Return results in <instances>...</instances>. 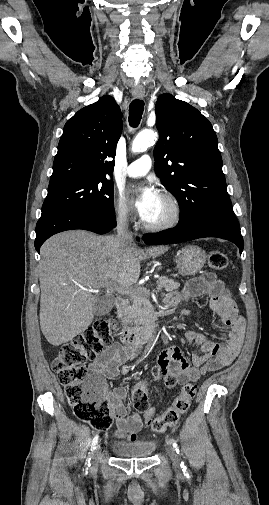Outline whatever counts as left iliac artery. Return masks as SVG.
Listing matches in <instances>:
<instances>
[{"label": "left iliac artery", "mask_w": 269, "mask_h": 505, "mask_svg": "<svg viewBox=\"0 0 269 505\" xmlns=\"http://www.w3.org/2000/svg\"><path fill=\"white\" fill-rule=\"evenodd\" d=\"M172 446L174 447V449L176 450L177 453H179V448H178V445L176 442H173L172 443ZM181 467H182V470L184 472V474L188 475L189 474V470L187 468V466L185 465V463H181Z\"/></svg>", "instance_id": "left-iliac-artery-1"}]
</instances>
